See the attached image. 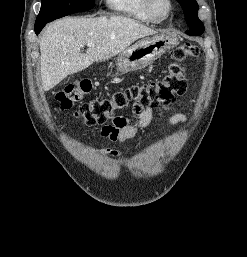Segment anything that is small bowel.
Masks as SVG:
<instances>
[{"mask_svg":"<svg viewBox=\"0 0 247 257\" xmlns=\"http://www.w3.org/2000/svg\"><path fill=\"white\" fill-rule=\"evenodd\" d=\"M164 109H169L164 107ZM133 114L137 119L136 124H129L124 117V124H119L116 121H112L111 124L105 125L101 128L100 134L102 137L108 138L115 143H124L127 140L133 138L139 130L146 128L152 121L153 113L150 108H144L140 105H133ZM185 120V116L181 113H174L169 118V124L175 125ZM109 157H115L119 154L118 151L112 149H106L104 151Z\"/></svg>","mask_w":247,"mask_h":257,"instance_id":"1","label":"small bowel"}]
</instances>
